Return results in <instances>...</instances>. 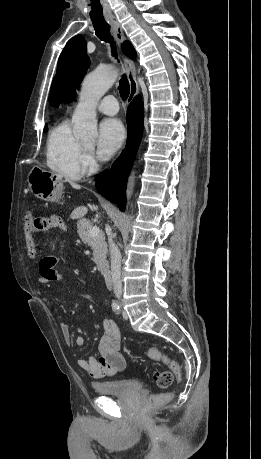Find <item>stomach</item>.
Returning a JSON list of instances; mask_svg holds the SVG:
<instances>
[{
	"label": "stomach",
	"instance_id": "obj_1",
	"mask_svg": "<svg viewBox=\"0 0 261 459\" xmlns=\"http://www.w3.org/2000/svg\"><path fill=\"white\" fill-rule=\"evenodd\" d=\"M27 181L32 194L41 200L58 202L62 197L63 179L53 172L33 167Z\"/></svg>",
	"mask_w": 261,
	"mask_h": 459
}]
</instances>
